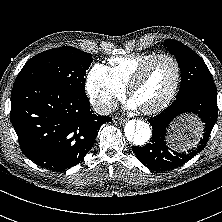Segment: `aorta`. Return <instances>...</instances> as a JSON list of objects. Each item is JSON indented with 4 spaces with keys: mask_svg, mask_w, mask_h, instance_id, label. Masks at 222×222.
<instances>
[{
    "mask_svg": "<svg viewBox=\"0 0 222 222\" xmlns=\"http://www.w3.org/2000/svg\"><path fill=\"white\" fill-rule=\"evenodd\" d=\"M127 143L141 147L151 138V128L144 120H130L126 123L123 133Z\"/></svg>",
    "mask_w": 222,
    "mask_h": 222,
    "instance_id": "obj_1",
    "label": "aorta"
}]
</instances>
